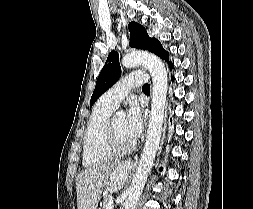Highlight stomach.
Here are the masks:
<instances>
[{"label": "stomach", "instance_id": "obj_1", "mask_svg": "<svg viewBox=\"0 0 253 209\" xmlns=\"http://www.w3.org/2000/svg\"><path fill=\"white\" fill-rule=\"evenodd\" d=\"M112 186V181H101V190H110Z\"/></svg>", "mask_w": 253, "mask_h": 209}]
</instances>
